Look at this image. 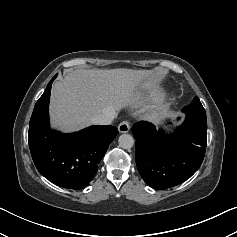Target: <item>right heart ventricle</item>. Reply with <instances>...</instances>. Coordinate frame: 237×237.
<instances>
[{"label":"right heart ventricle","instance_id":"obj_1","mask_svg":"<svg viewBox=\"0 0 237 237\" xmlns=\"http://www.w3.org/2000/svg\"><path fill=\"white\" fill-rule=\"evenodd\" d=\"M159 95L158 92H151L148 94V96L146 97L147 99H153L156 98Z\"/></svg>","mask_w":237,"mask_h":237}]
</instances>
